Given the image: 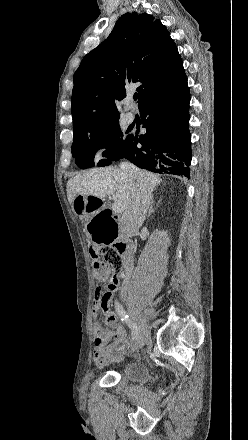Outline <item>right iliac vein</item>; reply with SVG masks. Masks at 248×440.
<instances>
[{
	"label": "right iliac vein",
	"instance_id": "1",
	"mask_svg": "<svg viewBox=\"0 0 248 440\" xmlns=\"http://www.w3.org/2000/svg\"><path fill=\"white\" fill-rule=\"evenodd\" d=\"M138 329H139V333L137 340L132 348L133 351L142 348L149 338V329L146 324L141 323Z\"/></svg>",
	"mask_w": 248,
	"mask_h": 440
}]
</instances>
